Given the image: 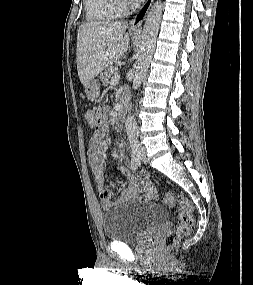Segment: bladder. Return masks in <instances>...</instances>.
<instances>
[{
	"instance_id": "bladder-1",
	"label": "bladder",
	"mask_w": 253,
	"mask_h": 285,
	"mask_svg": "<svg viewBox=\"0 0 253 285\" xmlns=\"http://www.w3.org/2000/svg\"><path fill=\"white\" fill-rule=\"evenodd\" d=\"M168 220L167 211L158 205L138 201H119L102 216V231L107 240L132 243Z\"/></svg>"
}]
</instances>
